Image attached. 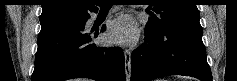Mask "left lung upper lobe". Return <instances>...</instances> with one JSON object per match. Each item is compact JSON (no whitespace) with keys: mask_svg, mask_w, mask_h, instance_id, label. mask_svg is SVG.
<instances>
[{"mask_svg":"<svg viewBox=\"0 0 237 81\" xmlns=\"http://www.w3.org/2000/svg\"><path fill=\"white\" fill-rule=\"evenodd\" d=\"M152 10L158 15L146 24L145 32L155 34L170 26H201L195 0H152Z\"/></svg>","mask_w":237,"mask_h":81,"instance_id":"1","label":"left lung upper lobe"}]
</instances>
